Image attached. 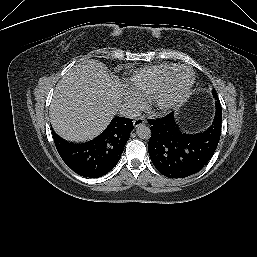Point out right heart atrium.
I'll use <instances>...</instances> for the list:
<instances>
[{"mask_svg":"<svg viewBox=\"0 0 257 257\" xmlns=\"http://www.w3.org/2000/svg\"><path fill=\"white\" fill-rule=\"evenodd\" d=\"M125 100L127 105L132 110H139L143 107V100L130 90L125 92Z\"/></svg>","mask_w":257,"mask_h":257,"instance_id":"1","label":"right heart atrium"}]
</instances>
